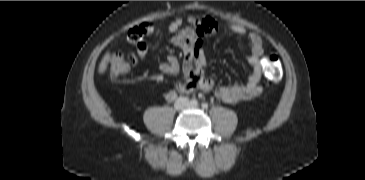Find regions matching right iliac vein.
I'll use <instances>...</instances> for the list:
<instances>
[{
	"mask_svg": "<svg viewBox=\"0 0 365 180\" xmlns=\"http://www.w3.org/2000/svg\"><path fill=\"white\" fill-rule=\"evenodd\" d=\"M186 104H187V100H185V99H179L175 103V107H176V109H182Z\"/></svg>",
	"mask_w": 365,
	"mask_h": 180,
	"instance_id": "63e3f726",
	"label": "right iliac vein"
}]
</instances>
